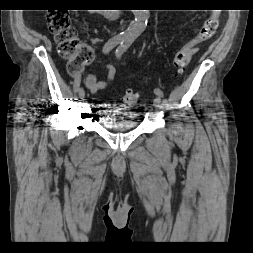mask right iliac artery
Masks as SVG:
<instances>
[{
  "label": "right iliac artery",
  "mask_w": 253,
  "mask_h": 253,
  "mask_svg": "<svg viewBox=\"0 0 253 253\" xmlns=\"http://www.w3.org/2000/svg\"><path fill=\"white\" fill-rule=\"evenodd\" d=\"M123 41H124V38L122 36H115V37L109 39L103 47V53L104 54L109 53L115 46H117L119 43H122ZM80 77H81V74H78V76L75 77V81H74V91L75 92H77L79 90Z\"/></svg>",
  "instance_id": "82829eb1"
}]
</instances>
